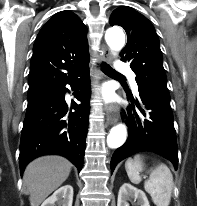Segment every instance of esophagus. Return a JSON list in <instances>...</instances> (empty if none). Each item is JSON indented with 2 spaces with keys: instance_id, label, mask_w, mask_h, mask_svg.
Listing matches in <instances>:
<instances>
[{
  "instance_id": "esophagus-1",
  "label": "esophagus",
  "mask_w": 197,
  "mask_h": 206,
  "mask_svg": "<svg viewBox=\"0 0 197 206\" xmlns=\"http://www.w3.org/2000/svg\"><path fill=\"white\" fill-rule=\"evenodd\" d=\"M106 61H110L109 50L105 45H102L100 62H106ZM106 120H107V123L109 124H115L117 122V116L114 114H111L110 112H107Z\"/></svg>"
}]
</instances>
